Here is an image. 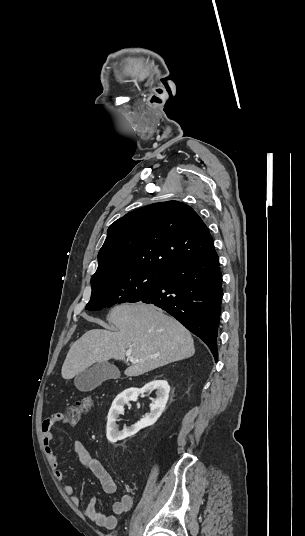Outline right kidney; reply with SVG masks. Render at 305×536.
Instances as JSON below:
<instances>
[{
  "label": "right kidney",
  "instance_id": "right-kidney-1",
  "mask_svg": "<svg viewBox=\"0 0 305 536\" xmlns=\"http://www.w3.org/2000/svg\"><path fill=\"white\" fill-rule=\"evenodd\" d=\"M153 390H156L157 398H150V400H152V404H150L151 412L149 416H146V418H143V420L139 422L137 428L140 430V428H146V426H153V424L157 422L158 418H160L162 412H164L170 392L168 382H166V380H154V382H149V384H146L142 390H137V388H129V390H125V392H122V394H119V396L115 398L107 416L108 422L106 436L109 442L114 444V442H118V440H125V438H128V436H132V434H134L135 428L134 430H127V428H124L122 432H119L116 424L118 416L119 414H122L124 404H128L129 400H132L134 396H138L136 392H153Z\"/></svg>",
  "mask_w": 305,
  "mask_h": 536
}]
</instances>
